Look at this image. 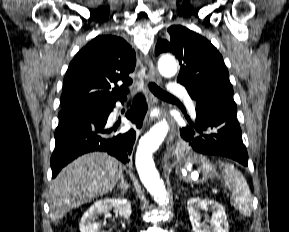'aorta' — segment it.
<instances>
[{"instance_id":"aorta-1","label":"aorta","mask_w":289,"mask_h":232,"mask_svg":"<svg viewBox=\"0 0 289 232\" xmlns=\"http://www.w3.org/2000/svg\"><path fill=\"white\" fill-rule=\"evenodd\" d=\"M159 72L165 77H172L177 72V63L173 58H163L158 64ZM169 130L166 121L154 125L139 141L136 153V168L141 182L154 200L161 206L167 205V192L164 182L152 159V154L159 148Z\"/></svg>"}]
</instances>
